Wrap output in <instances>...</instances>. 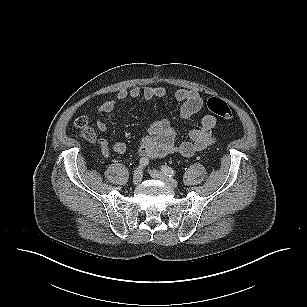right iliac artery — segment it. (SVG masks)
Returning <instances> with one entry per match:
<instances>
[{"mask_svg": "<svg viewBox=\"0 0 307 307\" xmlns=\"http://www.w3.org/2000/svg\"><path fill=\"white\" fill-rule=\"evenodd\" d=\"M139 163H140V166L144 168L149 164V160L145 158H141Z\"/></svg>", "mask_w": 307, "mask_h": 307, "instance_id": "obj_1", "label": "right iliac artery"}]
</instances>
